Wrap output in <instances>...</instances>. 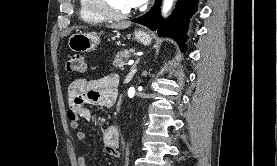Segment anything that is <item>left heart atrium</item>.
<instances>
[{
	"instance_id": "obj_1",
	"label": "left heart atrium",
	"mask_w": 277,
	"mask_h": 166,
	"mask_svg": "<svg viewBox=\"0 0 277 166\" xmlns=\"http://www.w3.org/2000/svg\"><path fill=\"white\" fill-rule=\"evenodd\" d=\"M148 0H130V4L132 7H139L145 4Z\"/></svg>"
}]
</instances>
